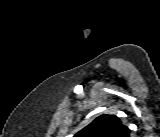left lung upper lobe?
I'll list each match as a JSON object with an SVG mask.
<instances>
[{"mask_svg": "<svg viewBox=\"0 0 160 137\" xmlns=\"http://www.w3.org/2000/svg\"><path fill=\"white\" fill-rule=\"evenodd\" d=\"M130 130L114 115H101L74 137H129Z\"/></svg>", "mask_w": 160, "mask_h": 137, "instance_id": "left-lung-upper-lobe-1", "label": "left lung upper lobe"}]
</instances>
